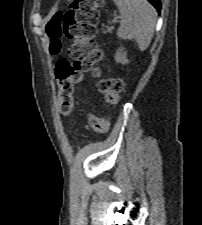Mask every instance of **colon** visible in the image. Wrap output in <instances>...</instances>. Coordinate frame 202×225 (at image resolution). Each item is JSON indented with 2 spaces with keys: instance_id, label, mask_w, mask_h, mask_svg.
<instances>
[{
  "instance_id": "colon-1",
  "label": "colon",
  "mask_w": 202,
  "mask_h": 225,
  "mask_svg": "<svg viewBox=\"0 0 202 225\" xmlns=\"http://www.w3.org/2000/svg\"><path fill=\"white\" fill-rule=\"evenodd\" d=\"M103 0H74L64 12H57L46 25L50 39V52L57 56L61 49V38L73 41L69 49V59L61 60L56 67L59 87L58 110L68 115L74 107V84L81 81V75L87 71H97L104 63V53L94 40L97 34L98 10ZM120 79L109 77L99 83V90L110 105L118 104L123 92ZM87 121L92 130L104 134L109 120L93 113Z\"/></svg>"
}]
</instances>
